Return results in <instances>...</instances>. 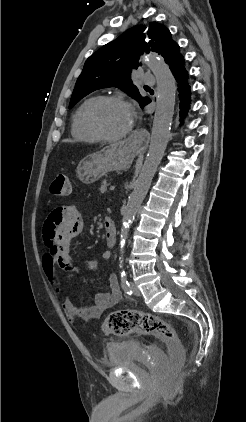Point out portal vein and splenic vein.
Segmentation results:
<instances>
[{"instance_id": "18ae733b", "label": "portal vein and splenic vein", "mask_w": 246, "mask_h": 422, "mask_svg": "<svg viewBox=\"0 0 246 422\" xmlns=\"http://www.w3.org/2000/svg\"><path fill=\"white\" fill-rule=\"evenodd\" d=\"M115 189V186H111L110 187V191H112V190H114Z\"/></svg>"}]
</instances>
